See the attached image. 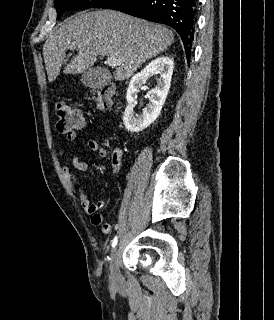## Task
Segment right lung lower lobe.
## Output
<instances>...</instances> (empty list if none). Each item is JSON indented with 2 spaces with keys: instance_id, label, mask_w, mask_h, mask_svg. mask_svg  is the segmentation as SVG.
<instances>
[{
  "instance_id": "right-lung-lower-lobe-1",
  "label": "right lung lower lobe",
  "mask_w": 274,
  "mask_h": 320,
  "mask_svg": "<svg viewBox=\"0 0 274 320\" xmlns=\"http://www.w3.org/2000/svg\"><path fill=\"white\" fill-rule=\"evenodd\" d=\"M198 5L197 0H111L102 8L119 10L148 21L171 26L181 36L189 61Z\"/></svg>"
}]
</instances>
